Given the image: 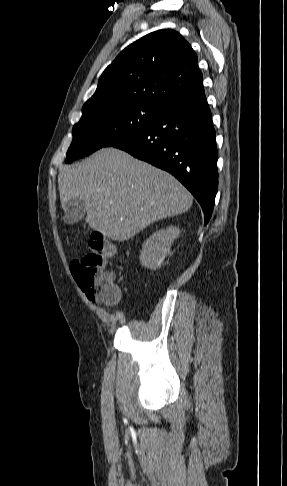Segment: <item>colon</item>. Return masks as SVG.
I'll list each match as a JSON object with an SVG mask.
<instances>
[{
  "label": "colon",
  "mask_w": 287,
  "mask_h": 486,
  "mask_svg": "<svg viewBox=\"0 0 287 486\" xmlns=\"http://www.w3.org/2000/svg\"><path fill=\"white\" fill-rule=\"evenodd\" d=\"M89 252L71 264L73 277L91 301L114 305L120 301L121 292L113 276L105 270L108 257L114 253V244L100 232L91 234Z\"/></svg>",
  "instance_id": "obj_1"
}]
</instances>
